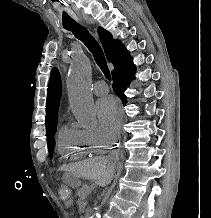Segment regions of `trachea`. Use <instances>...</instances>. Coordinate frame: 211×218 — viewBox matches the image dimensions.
Returning a JSON list of instances; mask_svg holds the SVG:
<instances>
[{
	"label": "trachea",
	"mask_w": 211,
	"mask_h": 218,
	"mask_svg": "<svg viewBox=\"0 0 211 218\" xmlns=\"http://www.w3.org/2000/svg\"><path fill=\"white\" fill-rule=\"evenodd\" d=\"M66 30H69L73 33V35L78 38V40H81V42L86 45V47L90 50V52L93 54V57L107 78V80L111 81V75L109 68L107 66V61L104 56V52L99 45V43L95 40V38L88 32V30L83 27L82 25H73V26H67L64 27Z\"/></svg>",
	"instance_id": "1"
}]
</instances>
